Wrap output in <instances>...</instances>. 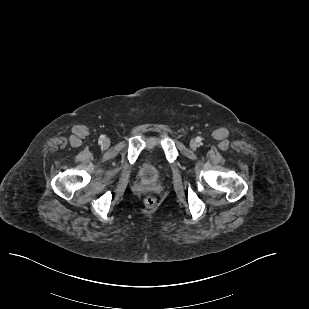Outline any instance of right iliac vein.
Masks as SVG:
<instances>
[{
  "label": "right iliac vein",
  "instance_id": "right-iliac-vein-1",
  "mask_svg": "<svg viewBox=\"0 0 309 309\" xmlns=\"http://www.w3.org/2000/svg\"><path fill=\"white\" fill-rule=\"evenodd\" d=\"M102 146H103L104 148L109 147V146H110V140L107 139V138H105V139L103 140Z\"/></svg>",
  "mask_w": 309,
  "mask_h": 309
}]
</instances>
